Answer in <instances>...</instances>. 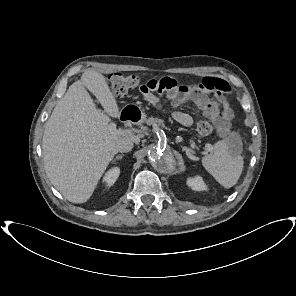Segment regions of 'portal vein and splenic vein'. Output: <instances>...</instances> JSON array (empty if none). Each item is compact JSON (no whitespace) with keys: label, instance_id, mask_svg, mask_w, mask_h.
<instances>
[{"label":"portal vein and splenic vein","instance_id":"portal-vein-and-splenic-vein-1","mask_svg":"<svg viewBox=\"0 0 296 296\" xmlns=\"http://www.w3.org/2000/svg\"><path fill=\"white\" fill-rule=\"evenodd\" d=\"M109 129H110L111 131L117 133V134H132V131L129 130V129H128V130H120V129L117 130V129H116V124H115V123H110V124H109ZM185 151H186V154H187V156H188L189 158H191V159L194 158L193 155H192V151H191L189 148H186Z\"/></svg>","mask_w":296,"mask_h":296}]
</instances>
